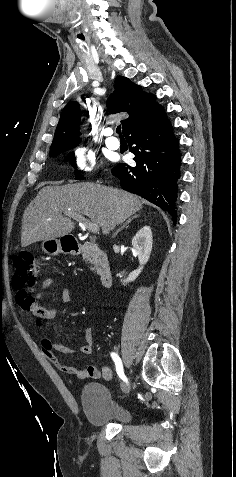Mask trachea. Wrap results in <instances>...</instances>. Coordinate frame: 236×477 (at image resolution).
<instances>
[{
    "instance_id": "obj_1",
    "label": "trachea",
    "mask_w": 236,
    "mask_h": 477,
    "mask_svg": "<svg viewBox=\"0 0 236 477\" xmlns=\"http://www.w3.org/2000/svg\"><path fill=\"white\" fill-rule=\"evenodd\" d=\"M116 133L119 135L120 138H123V135H122V133H121V126H120V125L117 126V128H116Z\"/></svg>"
}]
</instances>
